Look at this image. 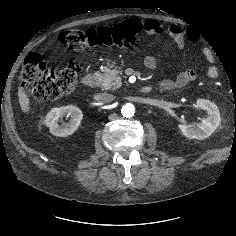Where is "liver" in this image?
Returning <instances> with one entry per match:
<instances>
[{
	"label": "liver",
	"instance_id": "1",
	"mask_svg": "<svg viewBox=\"0 0 236 236\" xmlns=\"http://www.w3.org/2000/svg\"><path fill=\"white\" fill-rule=\"evenodd\" d=\"M18 97H19V104L23 113L27 114L30 111V99L26 94L23 87L18 88Z\"/></svg>",
	"mask_w": 236,
	"mask_h": 236
}]
</instances>
